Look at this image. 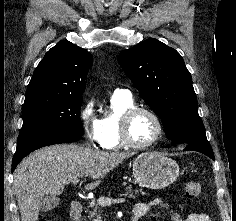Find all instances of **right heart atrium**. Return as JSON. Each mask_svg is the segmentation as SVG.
Returning <instances> with one entry per match:
<instances>
[{"instance_id": "1", "label": "right heart atrium", "mask_w": 236, "mask_h": 221, "mask_svg": "<svg viewBox=\"0 0 236 221\" xmlns=\"http://www.w3.org/2000/svg\"><path fill=\"white\" fill-rule=\"evenodd\" d=\"M79 119L87 141L94 147L102 146L100 120L95 110V101L88 99L79 111Z\"/></svg>"}]
</instances>
